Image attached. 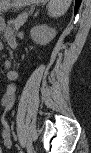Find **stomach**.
<instances>
[{"mask_svg":"<svg viewBox=\"0 0 91 153\" xmlns=\"http://www.w3.org/2000/svg\"><path fill=\"white\" fill-rule=\"evenodd\" d=\"M13 2L16 5H29V4H32L35 1H33V0H16V1H13ZM10 4H12L10 0H1L0 1V5H1L2 9H5Z\"/></svg>","mask_w":91,"mask_h":153,"instance_id":"1","label":"stomach"}]
</instances>
